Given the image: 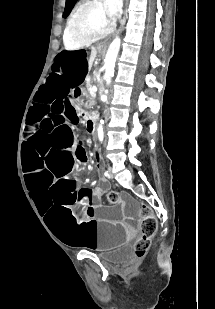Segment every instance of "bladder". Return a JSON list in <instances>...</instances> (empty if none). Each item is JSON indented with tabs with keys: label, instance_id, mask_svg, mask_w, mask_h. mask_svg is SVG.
I'll return each instance as SVG.
<instances>
[{
	"label": "bladder",
	"instance_id": "bladder-1",
	"mask_svg": "<svg viewBox=\"0 0 215 309\" xmlns=\"http://www.w3.org/2000/svg\"><path fill=\"white\" fill-rule=\"evenodd\" d=\"M131 256H132V249L127 246L120 247L114 251L99 255L101 260H104L111 264L123 263L127 261Z\"/></svg>",
	"mask_w": 215,
	"mask_h": 309
}]
</instances>
